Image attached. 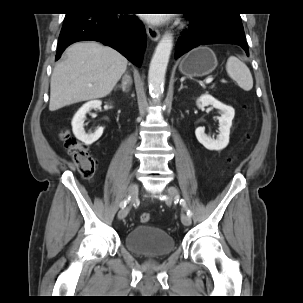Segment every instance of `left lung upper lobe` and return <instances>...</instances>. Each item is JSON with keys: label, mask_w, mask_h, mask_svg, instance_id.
I'll list each match as a JSON object with an SVG mask.
<instances>
[{"label": "left lung upper lobe", "mask_w": 303, "mask_h": 303, "mask_svg": "<svg viewBox=\"0 0 303 303\" xmlns=\"http://www.w3.org/2000/svg\"><path fill=\"white\" fill-rule=\"evenodd\" d=\"M207 16L215 19H224V20H235L241 21L240 15L238 13L224 12L220 10H214L210 13H207Z\"/></svg>", "instance_id": "1"}]
</instances>
